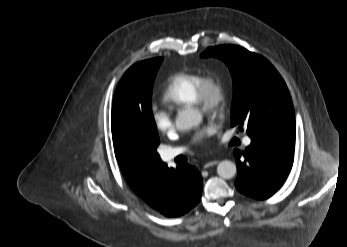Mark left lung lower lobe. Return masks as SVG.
I'll return each instance as SVG.
<instances>
[{"label":"left lung lower lobe","mask_w":347,"mask_h":247,"mask_svg":"<svg viewBox=\"0 0 347 247\" xmlns=\"http://www.w3.org/2000/svg\"><path fill=\"white\" fill-rule=\"evenodd\" d=\"M294 149L295 139L281 136L251 139L245 151L235 149L238 170L236 188L256 199L272 196L292 168Z\"/></svg>","instance_id":"obj_1"}]
</instances>
